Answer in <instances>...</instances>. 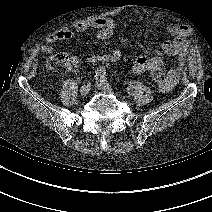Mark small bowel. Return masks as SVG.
Here are the masks:
<instances>
[{"label":"small bowel","instance_id":"1","mask_svg":"<svg viewBox=\"0 0 212 212\" xmlns=\"http://www.w3.org/2000/svg\"><path fill=\"white\" fill-rule=\"evenodd\" d=\"M184 25H179L177 28V35L172 39L165 40L161 44L163 52L167 55L176 56L178 59L177 67L171 68L165 81L159 85L163 92H169L172 90L174 85L179 80L181 71L185 65L189 46L188 43L179 37V32L184 29ZM75 32L83 33L88 30H95V37L99 40H107L112 37L115 29L114 20L109 17H98L87 21H82L76 24ZM74 36V31L71 30H61L54 34H51L47 43L42 46V51L44 53H51L56 49V44L61 40H68ZM122 58V54L119 50L114 49L107 54L102 55H91L87 58V62L90 64L97 63H112L119 61ZM162 60L159 57H139L132 64V71L136 74H140L151 70L154 67L162 66Z\"/></svg>","mask_w":212,"mask_h":212}]
</instances>
